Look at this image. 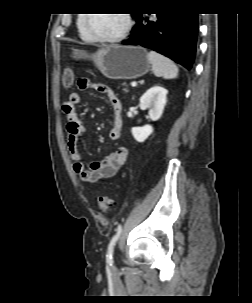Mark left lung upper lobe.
<instances>
[{"mask_svg":"<svg viewBox=\"0 0 252 303\" xmlns=\"http://www.w3.org/2000/svg\"><path fill=\"white\" fill-rule=\"evenodd\" d=\"M138 15H139V14H134V16H133V17H134V18H136Z\"/></svg>","mask_w":252,"mask_h":303,"instance_id":"left-lung-upper-lobe-1","label":"left lung upper lobe"}]
</instances>
